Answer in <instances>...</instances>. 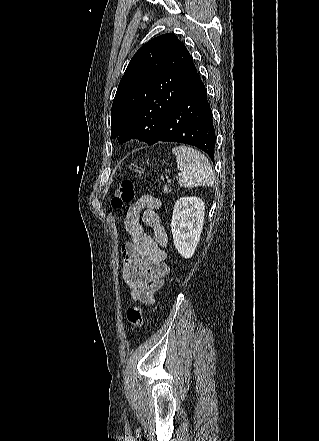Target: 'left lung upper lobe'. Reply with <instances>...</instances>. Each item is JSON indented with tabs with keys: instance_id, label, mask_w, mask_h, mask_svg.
I'll list each match as a JSON object with an SVG mask.
<instances>
[{
	"instance_id": "left-lung-upper-lobe-1",
	"label": "left lung upper lobe",
	"mask_w": 319,
	"mask_h": 441,
	"mask_svg": "<svg viewBox=\"0 0 319 441\" xmlns=\"http://www.w3.org/2000/svg\"><path fill=\"white\" fill-rule=\"evenodd\" d=\"M196 73L192 56L174 34L158 36L132 57L111 109V138L150 144Z\"/></svg>"
}]
</instances>
